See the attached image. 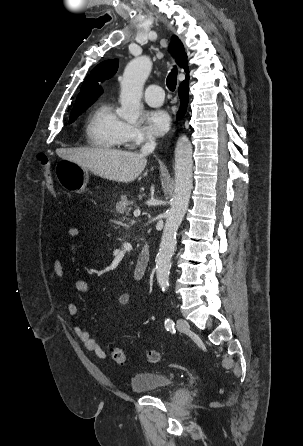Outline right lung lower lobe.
Returning <instances> with one entry per match:
<instances>
[{
    "label": "right lung lower lobe",
    "mask_w": 303,
    "mask_h": 446,
    "mask_svg": "<svg viewBox=\"0 0 303 446\" xmlns=\"http://www.w3.org/2000/svg\"><path fill=\"white\" fill-rule=\"evenodd\" d=\"M188 86H189V80L183 81L178 89L179 97H180V109L178 111V118H182L187 110V104H188Z\"/></svg>",
    "instance_id": "98d812e1"
}]
</instances>
